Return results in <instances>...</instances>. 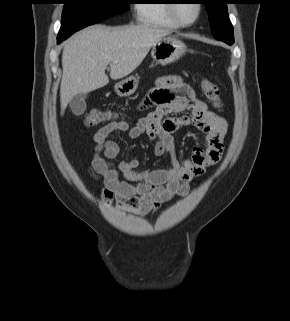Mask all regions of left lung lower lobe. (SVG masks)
Instances as JSON below:
<instances>
[{
	"label": "left lung lower lobe",
	"mask_w": 290,
	"mask_h": 321,
	"mask_svg": "<svg viewBox=\"0 0 290 321\" xmlns=\"http://www.w3.org/2000/svg\"><path fill=\"white\" fill-rule=\"evenodd\" d=\"M222 41L225 42L228 45H232L234 43V39H225V40H222Z\"/></svg>",
	"instance_id": "0a47b994"
}]
</instances>
